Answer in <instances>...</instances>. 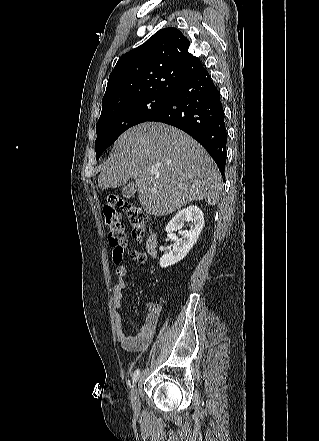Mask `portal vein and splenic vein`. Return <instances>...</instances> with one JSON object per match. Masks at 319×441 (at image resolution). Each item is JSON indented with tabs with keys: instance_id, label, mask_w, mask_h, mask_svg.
<instances>
[{
	"instance_id": "18ae733b",
	"label": "portal vein and splenic vein",
	"mask_w": 319,
	"mask_h": 441,
	"mask_svg": "<svg viewBox=\"0 0 319 441\" xmlns=\"http://www.w3.org/2000/svg\"><path fill=\"white\" fill-rule=\"evenodd\" d=\"M151 174H156V171L155 170H151Z\"/></svg>"
}]
</instances>
